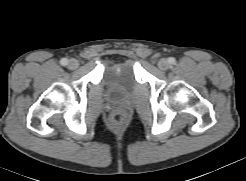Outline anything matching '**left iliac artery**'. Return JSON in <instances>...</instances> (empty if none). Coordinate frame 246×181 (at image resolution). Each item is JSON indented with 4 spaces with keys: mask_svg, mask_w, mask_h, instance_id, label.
<instances>
[{
    "mask_svg": "<svg viewBox=\"0 0 246 181\" xmlns=\"http://www.w3.org/2000/svg\"><path fill=\"white\" fill-rule=\"evenodd\" d=\"M168 61H169L170 64H175V62H176L175 58H173V57H170L168 59Z\"/></svg>",
    "mask_w": 246,
    "mask_h": 181,
    "instance_id": "left-iliac-artery-1",
    "label": "left iliac artery"
}]
</instances>
